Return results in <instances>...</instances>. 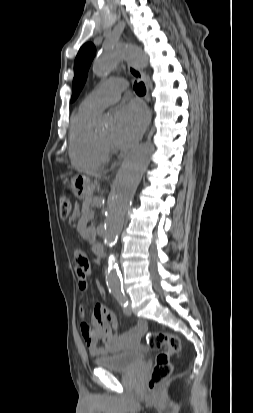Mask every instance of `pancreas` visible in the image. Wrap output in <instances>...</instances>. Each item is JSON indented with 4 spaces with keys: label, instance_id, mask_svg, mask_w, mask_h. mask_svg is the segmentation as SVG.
I'll return each mask as SVG.
<instances>
[{
    "label": "pancreas",
    "instance_id": "pancreas-1",
    "mask_svg": "<svg viewBox=\"0 0 253 413\" xmlns=\"http://www.w3.org/2000/svg\"><path fill=\"white\" fill-rule=\"evenodd\" d=\"M93 199H94V196H93V194L90 193L88 196L85 197V199L83 201V205H82L83 211L88 213V217L91 220L94 217V212L90 209V206L93 202ZM89 232L91 234V238L89 239V243L93 244L94 241H95V237H96L95 229H94L93 226L89 228Z\"/></svg>",
    "mask_w": 253,
    "mask_h": 413
}]
</instances>
